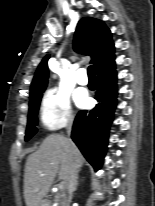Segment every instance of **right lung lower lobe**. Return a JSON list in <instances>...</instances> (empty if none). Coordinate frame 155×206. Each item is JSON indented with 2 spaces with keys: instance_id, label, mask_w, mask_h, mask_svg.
I'll return each instance as SVG.
<instances>
[{
  "instance_id": "right-lung-lower-lobe-1",
  "label": "right lung lower lobe",
  "mask_w": 155,
  "mask_h": 206,
  "mask_svg": "<svg viewBox=\"0 0 155 206\" xmlns=\"http://www.w3.org/2000/svg\"><path fill=\"white\" fill-rule=\"evenodd\" d=\"M96 107L80 111L75 119L72 139L82 154L97 171L107 150L108 133L116 108L117 75L114 60L97 72Z\"/></svg>"
}]
</instances>
